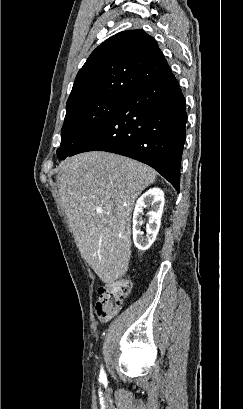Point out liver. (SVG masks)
<instances>
[{
	"label": "liver",
	"instance_id": "liver-1",
	"mask_svg": "<svg viewBox=\"0 0 243 409\" xmlns=\"http://www.w3.org/2000/svg\"><path fill=\"white\" fill-rule=\"evenodd\" d=\"M155 179L151 167L104 151L82 153L59 164L63 209L81 255L102 281L113 282L127 272L133 206Z\"/></svg>",
	"mask_w": 243,
	"mask_h": 409
}]
</instances>
